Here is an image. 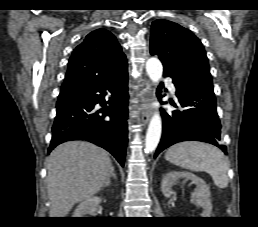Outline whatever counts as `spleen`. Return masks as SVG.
<instances>
[{"label":"spleen","instance_id":"3e777b00","mask_svg":"<svg viewBox=\"0 0 258 227\" xmlns=\"http://www.w3.org/2000/svg\"><path fill=\"white\" fill-rule=\"evenodd\" d=\"M165 158L184 169L210 174L218 188L228 186V162L215 146L195 141L180 142L167 150Z\"/></svg>","mask_w":258,"mask_h":227}]
</instances>
